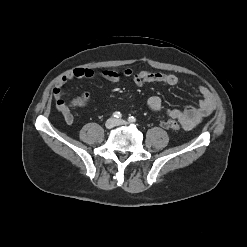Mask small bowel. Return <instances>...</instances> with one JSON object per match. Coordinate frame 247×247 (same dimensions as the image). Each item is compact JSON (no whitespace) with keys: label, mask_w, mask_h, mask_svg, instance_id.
I'll list each match as a JSON object with an SVG mask.
<instances>
[{"label":"small bowel","mask_w":247,"mask_h":247,"mask_svg":"<svg viewBox=\"0 0 247 247\" xmlns=\"http://www.w3.org/2000/svg\"><path fill=\"white\" fill-rule=\"evenodd\" d=\"M94 75L95 73L92 69L76 68L64 75L55 84L53 96L56 102V107L68 125L73 123L74 116L71 111V107L63 99L65 95V84L73 79L92 78ZM100 75L104 79L113 83H117L121 79V75L112 70H103ZM122 76L125 78H130L138 87H141L147 83H158L163 85H176L179 83V78L177 76L155 71H141L135 73L132 69L126 68L122 72ZM199 92L201 94V100L199 103L196 106H187L183 110H165L161 99L157 96H151L148 99L147 104L152 112H164L170 118L177 120L184 129L190 130L196 127L204 117L211 114L215 108L214 98L209 89L205 86H199Z\"/></svg>","instance_id":"small-bowel-1"}]
</instances>
